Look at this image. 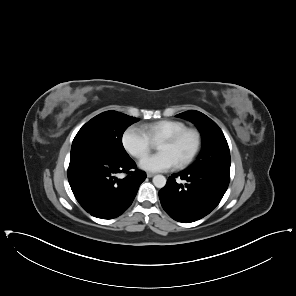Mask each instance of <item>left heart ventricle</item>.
Listing matches in <instances>:
<instances>
[{
	"label": "left heart ventricle",
	"mask_w": 296,
	"mask_h": 296,
	"mask_svg": "<svg viewBox=\"0 0 296 296\" xmlns=\"http://www.w3.org/2000/svg\"><path fill=\"white\" fill-rule=\"evenodd\" d=\"M189 143H187V145L185 146V147H180L181 149L180 150H185V151H182V153L183 152H185V153H187L188 152V150L191 148V145H192V142L191 141H188ZM181 152V151H180Z\"/></svg>",
	"instance_id": "1"
}]
</instances>
